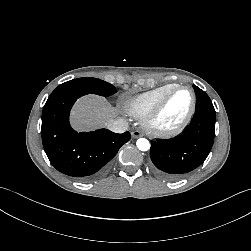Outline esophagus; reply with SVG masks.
I'll return each instance as SVG.
<instances>
[{"label":"esophagus","instance_id":"obj_1","mask_svg":"<svg viewBox=\"0 0 251 251\" xmlns=\"http://www.w3.org/2000/svg\"><path fill=\"white\" fill-rule=\"evenodd\" d=\"M132 137L133 138H139V137H142L143 136V133L139 130H135V131H132Z\"/></svg>","mask_w":251,"mask_h":251}]
</instances>
